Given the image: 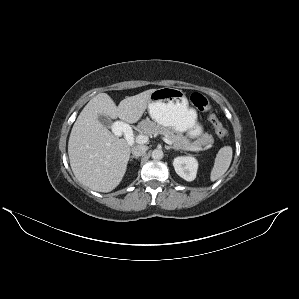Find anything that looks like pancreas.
<instances>
[{
	"mask_svg": "<svg viewBox=\"0 0 299 299\" xmlns=\"http://www.w3.org/2000/svg\"><path fill=\"white\" fill-rule=\"evenodd\" d=\"M138 129L141 133H144L150 137L155 135L165 136L172 141L173 146L177 149H186L187 147L192 146L201 147L202 145L212 142L211 136L206 134L191 144L182 133H175L172 129L156 124L149 119L141 121L138 125Z\"/></svg>",
	"mask_w": 299,
	"mask_h": 299,
	"instance_id": "pancreas-1",
	"label": "pancreas"
}]
</instances>
